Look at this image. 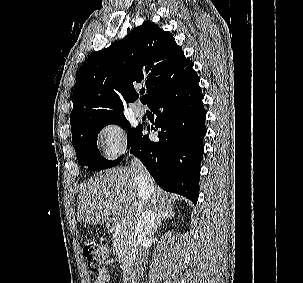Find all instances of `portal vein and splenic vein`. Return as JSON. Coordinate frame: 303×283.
Segmentation results:
<instances>
[{
    "label": "portal vein and splenic vein",
    "instance_id": "1",
    "mask_svg": "<svg viewBox=\"0 0 303 283\" xmlns=\"http://www.w3.org/2000/svg\"><path fill=\"white\" fill-rule=\"evenodd\" d=\"M116 211H120V209L115 208V209H114V212H116ZM121 224H122V227H125V228H126V227H128V226L130 225V222H129L128 219H122Z\"/></svg>",
    "mask_w": 303,
    "mask_h": 283
}]
</instances>
